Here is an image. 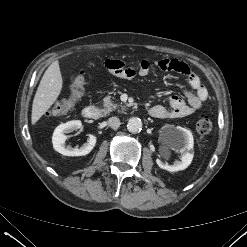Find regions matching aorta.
<instances>
[{"mask_svg": "<svg viewBox=\"0 0 247 247\" xmlns=\"http://www.w3.org/2000/svg\"><path fill=\"white\" fill-rule=\"evenodd\" d=\"M127 129L130 133H139L142 129V121L140 118L132 117L127 123Z\"/></svg>", "mask_w": 247, "mask_h": 247, "instance_id": "1", "label": "aorta"}]
</instances>
